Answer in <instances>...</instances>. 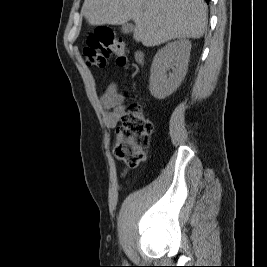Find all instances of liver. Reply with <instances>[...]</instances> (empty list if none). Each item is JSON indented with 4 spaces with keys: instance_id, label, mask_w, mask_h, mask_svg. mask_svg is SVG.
<instances>
[{
    "instance_id": "obj_1",
    "label": "liver",
    "mask_w": 267,
    "mask_h": 267,
    "mask_svg": "<svg viewBox=\"0 0 267 267\" xmlns=\"http://www.w3.org/2000/svg\"><path fill=\"white\" fill-rule=\"evenodd\" d=\"M204 0H85L81 13L92 26L135 23L133 38L153 47L176 38H200L207 24Z\"/></svg>"
}]
</instances>
